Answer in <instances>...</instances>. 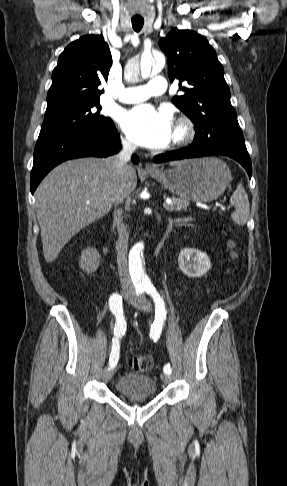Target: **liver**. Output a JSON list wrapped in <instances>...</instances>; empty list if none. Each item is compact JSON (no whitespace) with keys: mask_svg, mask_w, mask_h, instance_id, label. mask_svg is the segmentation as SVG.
Here are the masks:
<instances>
[{"mask_svg":"<svg viewBox=\"0 0 287 486\" xmlns=\"http://www.w3.org/2000/svg\"><path fill=\"white\" fill-rule=\"evenodd\" d=\"M115 184L124 199L136 188L137 174L128 165L126 178L117 182L111 158L69 160L43 179L35 192V205L46 262H53L73 236L110 211Z\"/></svg>","mask_w":287,"mask_h":486,"instance_id":"liver-1","label":"liver"}]
</instances>
